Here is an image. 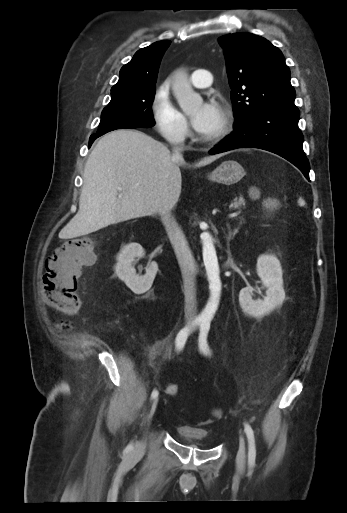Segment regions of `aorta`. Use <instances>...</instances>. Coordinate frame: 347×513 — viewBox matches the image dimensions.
Wrapping results in <instances>:
<instances>
[{
	"label": "aorta",
	"mask_w": 347,
	"mask_h": 513,
	"mask_svg": "<svg viewBox=\"0 0 347 513\" xmlns=\"http://www.w3.org/2000/svg\"><path fill=\"white\" fill-rule=\"evenodd\" d=\"M172 89L179 106L186 114L194 111L203 102L202 97L193 91L187 74L182 70L175 72ZM202 243L203 260L209 280L210 298L200 318L203 321L209 322L217 310L222 285L219 277V265L214 241L210 234L206 233L202 237Z\"/></svg>",
	"instance_id": "1"
}]
</instances>
